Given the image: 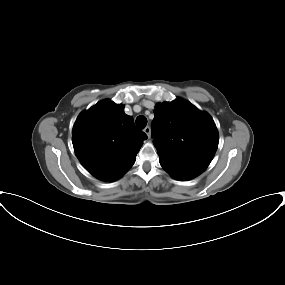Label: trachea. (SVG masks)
I'll use <instances>...</instances> for the list:
<instances>
[{
	"mask_svg": "<svg viewBox=\"0 0 285 285\" xmlns=\"http://www.w3.org/2000/svg\"><path fill=\"white\" fill-rule=\"evenodd\" d=\"M136 125L140 129H144L147 125V119L145 116H138L136 118Z\"/></svg>",
	"mask_w": 285,
	"mask_h": 285,
	"instance_id": "3493384b",
	"label": "trachea"
}]
</instances>
